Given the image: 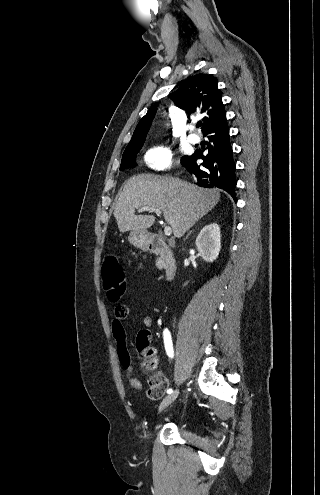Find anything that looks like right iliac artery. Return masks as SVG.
Masks as SVG:
<instances>
[{"instance_id": "obj_1", "label": "right iliac artery", "mask_w": 320, "mask_h": 495, "mask_svg": "<svg viewBox=\"0 0 320 495\" xmlns=\"http://www.w3.org/2000/svg\"><path fill=\"white\" fill-rule=\"evenodd\" d=\"M163 339H164V345H165V350L167 355L172 358L173 357V345H172V339L171 335L168 329H165L163 331ZM173 390L170 388L167 390L168 394H171Z\"/></svg>"}]
</instances>
